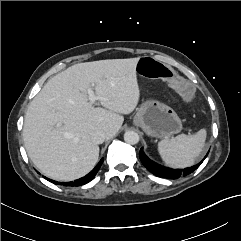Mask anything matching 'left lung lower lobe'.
<instances>
[{
  "label": "left lung lower lobe",
  "instance_id": "0a47b994",
  "mask_svg": "<svg viewBox=\"0 0 241 241\" xmlns=\"http://www.w3.org/2000/svg\"><path fill=\"white\" fill-rule=\"evenodd\" d=\"M139 157L141 159L142 164L154 175L158 176V177H164V178H170V179H177L180 176H186L189 175L190 173H192L194 170H196L201 163L203 162V160L192 167L189 168H185V169H171L169 167H164L161 166L155 162H153L152 160H150L143 152V150L141 149L139 151Z\"/></svg>",
  "mask_w": 241,
  "mask_h": 241
}]
</instances>
